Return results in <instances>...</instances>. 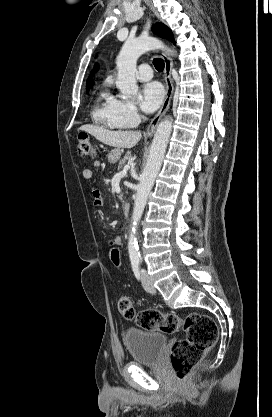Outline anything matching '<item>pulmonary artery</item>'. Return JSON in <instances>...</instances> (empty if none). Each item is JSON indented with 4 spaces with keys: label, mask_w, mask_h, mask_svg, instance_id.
Listing matches in <instances>:
<instances>
[{
    "label": "pulmonary artery",
    "mask_w": 272,
    "mask_h": 417,
    "mask_svg": "<svg viewBox=\"0 0 272 417\" xmlns=\"http://www.w3.org/2000/svg\"><path fill=\"white\" fill-rule=\"evenodd\" d=\"M137 79L140 81H148L153 77V72L148 64H141L136 73Z\"/></svg>",
    "instance_id": "1"
}]
</instances>
